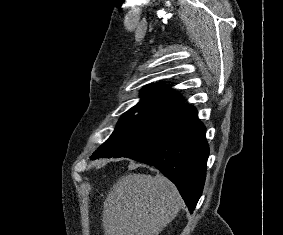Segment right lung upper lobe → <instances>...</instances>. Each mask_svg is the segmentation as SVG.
<instances>
[{"label":"right lung upper lobe","instance_id":"cb5924a9","mask_svg":"<svg viewBox=\"0 0 283 235\" xmlns=\"http://www.w3.org/2000/svg\"><path fill=\"white\" fill-rule=\"evenodd\" d=\"M140 94L142 99L139 103L168 102L182 104L183 102V99L172 89L161 84L146 86L141 90Z\"/></svg>","mask_w":283,"mask_h":235}]
</instances>
